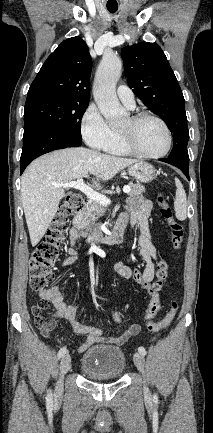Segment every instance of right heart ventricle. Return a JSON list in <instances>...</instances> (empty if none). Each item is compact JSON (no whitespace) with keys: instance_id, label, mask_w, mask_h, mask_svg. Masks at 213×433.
I'll return each mask as SVG.
<instances>
[{"instance_id":"1","label":"right heart ventricle","mask_w":213,"mask_h":433,"mask_svg":"<svg viewBox=\"0 0 213 433\" xmlns=\"http://www.w3.org/2000/svg\"><path fill=\"white\" fill-rule=\"evenodd\" d=\"M104 151L107 153L118 155V156H124L130 154L126 148L123 146L119 132L113 131V137L109 144L104 148Z\"/></svg>"}]
</instances>
